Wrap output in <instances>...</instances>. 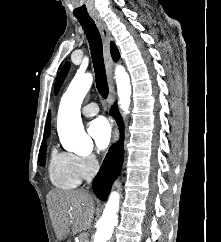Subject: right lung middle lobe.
<instances>
[{
	"instance_id": "1",
	"label": "right lung middle lobe",
	"mask_w": 221,
	"mask_h": 242,
	"mask_svg": "<svg viewBox=\"0 0 221 242\" xmlns=\"http://www.w3.org/2000/svg\"><path fill=\"white\" fill-rule=\"evenodd\" d=\"M48 137H44V141L41 144L40 150H39V163L41 166H45V158H46V148H47V144L45 139H47Z\"/></svg>"
}]
</instances>
